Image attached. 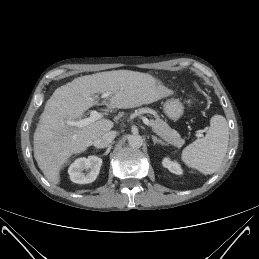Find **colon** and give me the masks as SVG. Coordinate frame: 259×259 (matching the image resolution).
<instances>
[{
  "label": "colon",
  "mask_w": 259,
  "mask_h": 259,
  "mask_svg": "<svg viewBox=\"0 0 259 259\" xmlns=\"http://www.w3.org/2000/svg\"><path fill=\"white\" fill-rule=\"evenodd\" d=\"M186 103L189 108H192L196 103V99L193 96H189L186 100Z\"/></svg>",
  "instance_id": "colon-1"
}]
</instances>
